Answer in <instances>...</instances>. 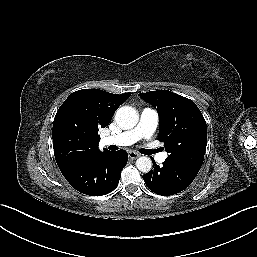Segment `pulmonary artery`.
Listing matches in <instances>:
<instances>
[{"mask_svg": "<svg viewBox=\"0 0 257 257\" xmlns=\"http://www.w3.org/2000/svg\"><path fill=\"white\" fill-rule=\"evenodd\" d=\"M159 122V115L155 109L144 108L140 113L138 124L122 133L106 136L102 139L104 145L129 146L140 139H149L155 132ZM167 157L165 152L156 155V160L164 162Z\"/></svg>", "mask_w": 257, "mask_h": 257, "instance_id": "1", "label": "pulmonary artery"}]
</instances>
